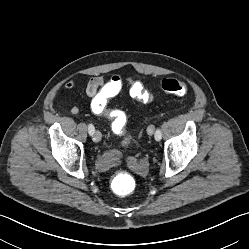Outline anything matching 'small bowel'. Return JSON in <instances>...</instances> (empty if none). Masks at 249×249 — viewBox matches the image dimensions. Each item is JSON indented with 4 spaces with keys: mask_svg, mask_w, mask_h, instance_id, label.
<instances>
[{
    "mask_svg": "<svg viewBox=\"0 0 249 249\" xmlns=\"http://www.w3.org/2000/svg\"><path fill=\"white\" fill-rule=\"evenodd\" d=\"M65 88L67 91H73L75 88L74 79H69L65 83ZM112 88L111 79L105 81L104 76L98 74L89 79L85 87V94L90 99V109L97 116H106L112 120V129L113 124L116 120L125 119L123 112L118 110H110L107 108L108 101L116 95H111L110 90ZM70 113L73 115L80 114L83 110L79 106H72L70 108ZM103 163L109 164L111 158L107 155L103 156L100 160ZM138 172L145 173L146 163L139 162L137 167Z\"/></svg>",
    "mask_w": 249,
    "mask_h": 249,
    "instance_id": "1",
    "label": "small bowel"
}]
</instances>
